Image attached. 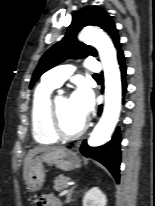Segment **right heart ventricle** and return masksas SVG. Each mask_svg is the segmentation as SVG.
<instances>
[{
    "mask_svg": "<svg viewBox=\"0 0 155 206\" xmlns=\"http://www.w3.org/2000/svg\"><path fill=\"white\" fill-rule=\"evenodd\" d=\"M56 86L42 81L36 88L31 105V127L34 139L42 145L57 141L49 123L51 93Z\"/></svg>",
    "mask_w": 155,
    "mask_h": 206,
    "instance_id": "obj_1",
    "label": "right heart ventricle"
}]
</instances>
